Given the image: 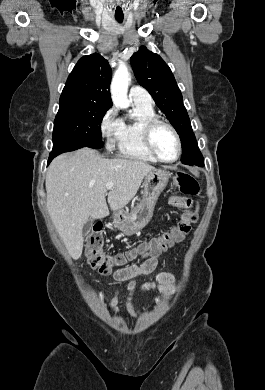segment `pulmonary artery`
I'll list each match as a JSON object with an SVG mask.
<instances>
[{
  "mask_svg": "<svg viewBox=\"0 0 265 390\" xmlns=\"http://www.w3.org/2000/svg\"><path fill=\"white\" fill-rule=\"evenodd\" d=\"M129 96L133 101V103L152 105V99L150 95L143 88L139 86L131 87Z\"/></svg>",
  "mask_w": 265,
  "mask_h": 390,
  "instance_id": "pulmonary-artery-1",
  "label": "pulmonary artery"
}]
</instances>
